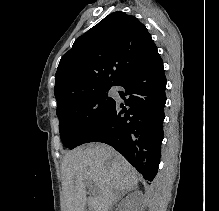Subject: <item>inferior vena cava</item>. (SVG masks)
<instances>
[{"label":"inferior vena cava","mask_w":219,"mask_h":211,"mask_svg":"<svg viewBox=\"0 0 219 211\" xmlns=\"http://www.w3.org/2000/svg\"><path fill=\"white\" fill-rule=\"evenodd\" d=\"M110 192H111V193H118V192H119V189H118V188H111V189H110Z\"/></svg>","instance_id":"1"}]
</instances>
